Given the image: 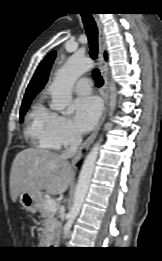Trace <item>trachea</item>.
Masks as SVG:
<instances>
[{"mask_svg":"<svg viewBox=\"0 0 162 261\" xmlns=\"http://www.w3.org/2000/svg\"><path fill=\"white\" fill-rule=\"evenodd\" d=\"M84 27L88 36L90 55L93 59L97 58L98 53V30L93 17L88 13H81ZM93 76L98 87L103 85V79L98 69L93 71Z\"/></svg>","mask_w":162,"mask_h":261,"instance_id":"trachea-1","label":"trachea"}]
</instances>
